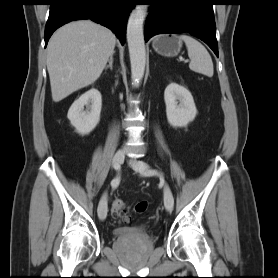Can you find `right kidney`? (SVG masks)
<instances>
[{"label":"right kidney","mask_w":278,"mask_h":278,"mask_svg":"<svg viewBox=\"0 0 278 278\" xmlns=\"http://www.w3.org/2000/svg\"><path fill=\"white\" fill-rule=\"evenodd\" d=\"M84 106L89 107V110L84 111ZM101 108V93L97 89L92 88L74 101L67 117L77 133L86 135L99 123Z\"/></svg>","instance_id":"right-kidney-1"}]
</instances>
